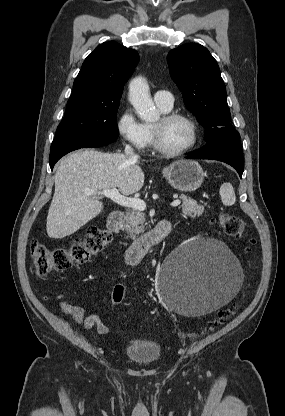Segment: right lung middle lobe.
Returning a JSON list of instances; mask_svg holds the SVG:
<instances>
[{
    "label": "right lung middle lobe",
    "instance_id": "obj_1",
    "mask_svg": "<svg viewBox=\"0 0 285 416\" xmlns=\"http://www.w3.org/2000/svg\"><path fill=\"white\" fill-rule=\"evenodd\" d=\"M119 99L85 101L69 98L66 113L55 137L106 136L118 137L116 114Z\"/></svg>",
    "mask_w": 285,
    "mask_h": 416
}]
</instances>
